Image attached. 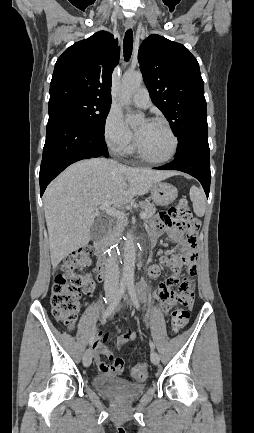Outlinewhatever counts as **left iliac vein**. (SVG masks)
<instances>
[{
	"label": "left iliac vein",
	"instance_id": "left-iliac-vein-1",
	"mask_svg": "<svg viewBox=\"0 0 254 433\" xmlns=\"http://www.w3.org/2000/svg\"><path fill=\"white\" fill-rule=\"evenodd\" d=\"M124 299H125L128 303H130V300H129V298L127 297V295H124ZM150 359H151V362H152L154 365H158V364H159L160 358H159V355H158V353H157L156 351H154V350L151 351V353H150Z\"/></svg>",
	"mask_w": 254,
	"mask_h": 433
}]
</instances>
